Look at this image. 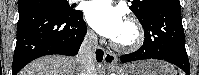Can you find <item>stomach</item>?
<instances>
[{
	"instance_id": "0dacf381",
	"label": "stomach",
	"mask_w": 199,
	"mask_h": 75,
	"mask_svg": "<svg viewBox=\"0 0 199 75\" xmlns=\"http://www.w3.org/2000/svg\"><path fill=\"white\" fill-rule=\"evenodd\" d=\"M171 67L160 61H139L126 64L121 75H172Z\"/></svg>"
}]
</instances>
